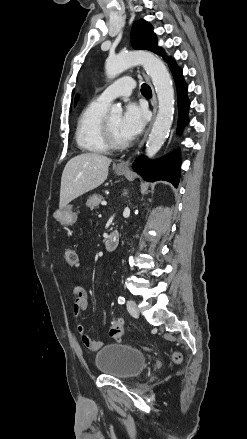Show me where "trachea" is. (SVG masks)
I'll return each instance as SVG.
<instances>
[{
	"instance_id": "obj_1",
	"label": "trachea",
	"mask_w": 247,
	"mask_h": 439,
	"mask_svg": "<svg viewBox=\"0 0 247 439\" xmlns=\"http://www.w3.org/2000/svg\"><path fill=\"white\" fill-rule=\"evenodd\" d=\"M141 93H142L144 96H148V97H151V96H152L151 88H150L149 85H147V84H142V86H141Z\"/></svg>"
}]
</instances>
